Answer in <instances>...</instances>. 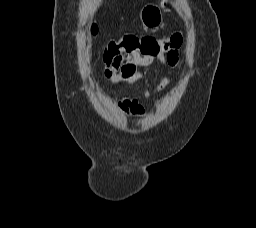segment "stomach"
I'll return each mask as SVG.
<instances>
[{"mask_svg":"<svg viewBox=\"0 0 256 228\" xmlns=\"http://www.w3.org/2000/svg\"><path fill=\"white\" fill-rule=\"evenodd\" d=\"M165 4H167V0L162 1V6ZM140 19L146 29L159 28L163 23L161 11L159 8L152 5L145 6L141 10Z\"/></svg>","mask_w":256,"mask_h":228,"instance_id":"1","label":"stomach"}]
</instances>
